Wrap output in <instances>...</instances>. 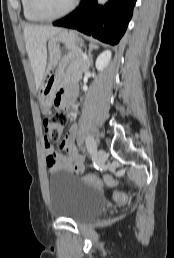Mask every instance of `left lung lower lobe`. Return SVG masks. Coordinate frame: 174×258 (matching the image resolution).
<instances>
[{
	"instance_id": "1",
	"label": "left lung lower lobe",
	"mask_w": 174,
	"mask_h": 258,
	"mask_svg": "<svg viewBox=\"0 0 174 258\" xmlns=\"http://www.w3.org/2000/svg\"><path fill=\"white\" fill-rule=\"evenodd\" d=\"M136 0H109L104 6L95 0H81L79 7L54 26L76 29L102 42L116 45L124 35Z\"/></svg>"
}]
</instances>
